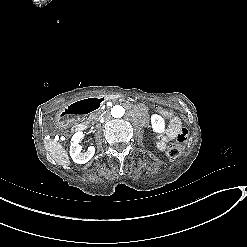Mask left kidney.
Returning a JSON list of instances; mask_svg holds the SVG:
<instances>
[{
	"label": "left kidney",
	"instance_id": "left-kidney-1",
	"mask_svg": "<svg viewBox=\"0 0 247 247\" xmlns=\"http://www.w3.org/2000/svg\"><path fill=\"white\" fill-rule=\"evenodd\" d=\"M152 116H153V121L156 120L158 123L161 122V121L163 120L162 117H160V116H158V115H156V114H153ZM162 124H163V123H162ZM152 130H153V132L156 133V134H162V133H164V131H165V126H161V129H157L156 127H154V126L152 125Z\"/></svg>",
	"mask_w": 247,
	"mask_h": 247
}]
</instances>
